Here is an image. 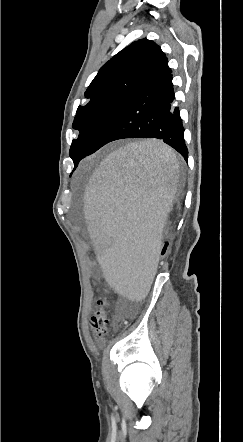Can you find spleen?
I'll return each instance as SVG.
<instances>
[{
  "label": "spleen",
  "instance_id": "3e777b00",
  "mask_svg": "<svg viewBox=\"0 0 243 442\" xmlns=\"http://www.w3.org/2000/svg\"><path fill=\"white\" fill-rule=\"evenodd\" d=\"M175 153L160 141L143 140L111 153L99 172H91L83 217L95 242L104 280L123 302L148 296L157 271L164 219L173 209L178 182ZM158 192V193H143Z\"/></svg>",
  "mask_w": 243,
  "mask_h": 442
}]
</instances>
